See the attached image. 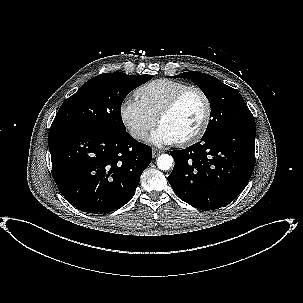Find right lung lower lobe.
<instances>
[{
    "instance_id": "98d812e1",
    "label": "right lung lower lobe",
    "mask_w": 303,
    "mask_h": 303,
    "mask_svg": "<svg viewBox=\"0 0 303 303\" xmlns=\"http://www.w3.org/2000/svg\"><path fill=\"white\" fill-rule=\"evenodd\" d=\"M48 145L59 191L73 206L94 214L126 204L152 159L151 148L126 131H50Z\"/></svg>"
}]
</instances>
